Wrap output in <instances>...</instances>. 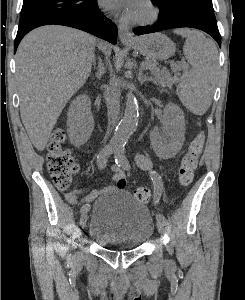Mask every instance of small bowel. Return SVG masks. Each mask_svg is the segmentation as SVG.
I'll use <instances>...</instances> for the list:
<instances>
[{"instance_id": "c3829d8e", "label": "small bowel", "mask_w": 245, "mask_h": 300, "mask_svg": "<svg viewBox=\"0 0 245 300\" xmlns=\"http://www.w3.org/2000/svg\"><path fill=\"white\" fill-rule=\"evenodd\" d=\"M136 163L137 165L148 172L153 171L152 168V162L151 160L144 156V155H137L136 156ZM112 171L114 173L113 175V181L115 182V185L110 186L108 188H104V189H94V190H84V189H75L72 190L68 193H66L65 198L66 200L72 204V205H76L78 204V197L81 193L83 192H87L85 199L88 202H91L93 200H95L96 198H98L103 192L107 191V190H113V189H124L126 187V174L120 170L118 167L113 166L112 167Z\"/></svg>"}]
</instances>
